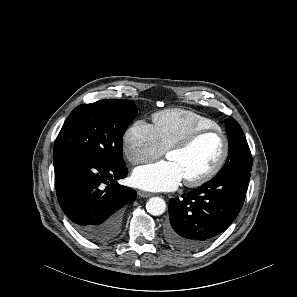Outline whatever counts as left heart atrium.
I'll use <instances>...</instances> for the list:
<instances>
[{"label": "left heart atrium", "mask_w": 297, "mask_h": 297, "mask_svg": "<svg viewBox=\"0 0 297 297\" xmlns=\"http://www.w3.org/2000/svg\"><path fill=\"white\" fill-rule=\"evenodd\" d=\"M185 180L182 168L173 160L137 167L131 176L133 185L150 191H170Z\"/></svg>", "instance_id": "left-heart-atrium-1"}]
</instances>
